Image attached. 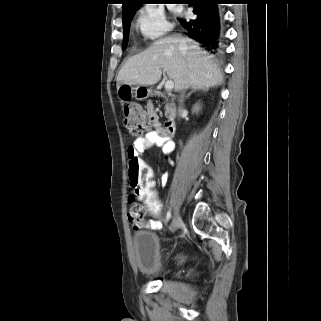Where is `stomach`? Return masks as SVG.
Wrapping results in <instances>:
<instances>
[{
  "mask_svg": "<svg viewBox=\"0 0 321 321\" xmlns=\"http://www.w3.org/2000/svg\"><path fill=\"white\" fill-rule=\"evenodd\" d=\"M117 95L121 102H128L132 98L144 100L151 95V90L143 85H121L117 89Z\"/></svg>",
  "mask_w": 321,
  "mask_h": 321,
  "instance_id": "0dacf381",
  "label": "stomach"
}]
</instances>
